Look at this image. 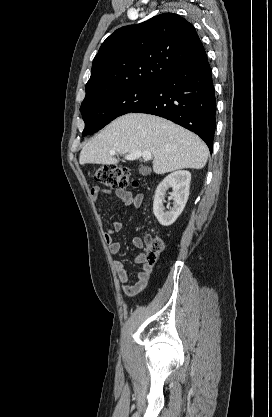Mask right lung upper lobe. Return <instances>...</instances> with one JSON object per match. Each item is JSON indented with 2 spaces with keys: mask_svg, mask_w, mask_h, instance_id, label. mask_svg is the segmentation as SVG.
<instances>
[{
  "mask_svg": "<svg viewBox=\"0 0 272 417\" xmlns=\"http://www.w3.org/2000/svg\"><path fill=\"white\" fill-rule=\"evenodd\" d=\"M203 51L195 28L174 13L121 27L95 56L83 102L129 87L158 84Z\"/></svg>",
  "mask_w": 272,
  "mask_h": 417,
  "instance_id": "1",
  "label": "right lung upper lobe"
}]
</instances>
